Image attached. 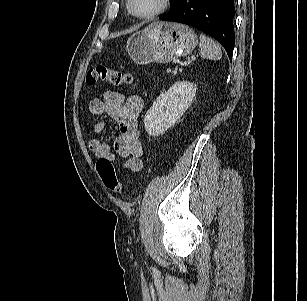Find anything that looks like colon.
Listing matches in <instances>:
<instances>
[{
  "label": "colon",
  "instance_id": "obj_1",
  "mask_svg": "<svg viewBox=\"0 0 307 301\" xmlns=\"http://www.w3.org/2000/svg\"><path fill=\"white\" fill-rule=\"evenodd\" d=\"M131 82V74L122 73L105 65H97L91 68L86 75L88 85L107 83L113 86H120L129 85ZM96 169L105 187L113 193L120 194L122 184L117 176L113 162L105 157L99 158L96 162Z\"/></svg>",
  "mask_w": 307,
  "mask_h": 301
}]
</instances>
